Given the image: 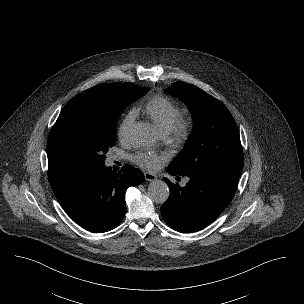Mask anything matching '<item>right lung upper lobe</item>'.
<instances>
[{
    "label": "right lung upper lobe",
    "instance_id": "1",
    "mask_svg": "<svg viewBox=\"0 0 304 304\" xmlns=\"http://www.w3.org/2000/svg\"><path fill=\"white\" fill-rule=\"evenodd\" d=\"M128 83H108L90 88L68 103L85 98H111L117 96ZM49 181L53 191L72 181L86 170L78 163L57 150L50 142L47 143Z\"/></svg>",
    "mask_w": 304,
    "mask_h": 304
}]
</instances>
